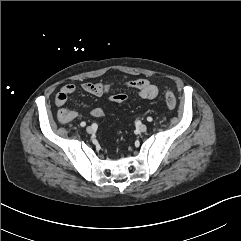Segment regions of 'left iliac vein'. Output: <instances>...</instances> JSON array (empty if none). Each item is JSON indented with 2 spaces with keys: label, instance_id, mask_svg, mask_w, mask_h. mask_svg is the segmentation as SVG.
Masks as SVG:
<instances>
[{
  "label": "left iliac vein",
  "instance_id": "1",
  "mask_svg": "<svg viewBox=\"0 0 241 241\" xmlns=\"http://www.w3.org/2000/svg\"><path fill=\"white\" fill-rule=\"evenodd\" d=\"M138 129L140 132H145L147 130V126L145 124H141L139 125Z\"/></svg>",
  "mask_w": 241,
  "mask_h": 241
}]
</instances>
